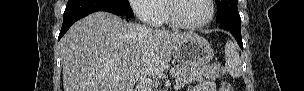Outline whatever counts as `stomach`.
<instances>
[{
    "label": "stomach",
    "instance_id": "1",
    "mask_svg": "<svg viewBox=\"0 0 304 91\" xmlns=\"http://www.w3.org/2000/svg\"><path fill=\"white\" fill-rule=\"evenodd\" d=\"M178 63L193 69L205 67L214 56L210 44L200 36L190 37L176 45L173 50Z\"/></svg>",
    "mask_w": 304,
    "mask_h": 91
}]
</instances>
